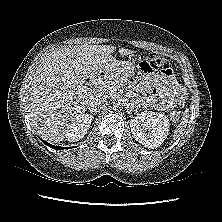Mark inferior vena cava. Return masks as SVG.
<instances>
[{"label": "inferior vena cava", "instance_id": "602c4592", "mask_svg": "<svg viewBox=\"0 0 222 222\" xmlns=\"http://www.w3.org/2000/svg\"><path fill=\"white\" fill-rule=\"evenodd\" d=\"M107 104H108L107 97L103 94L96 93L90 99L89 109H90V111L93 112V111H96L97 108H103V107L107 106Z\"/></svg>", "mask_w": 222, "mask_h": 222}]
</instances>
